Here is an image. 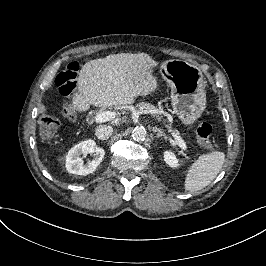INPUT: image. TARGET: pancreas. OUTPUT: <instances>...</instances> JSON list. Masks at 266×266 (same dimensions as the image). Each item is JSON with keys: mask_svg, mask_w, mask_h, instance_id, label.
Instances as JSON below:
<instances>
[{"mask_svg": "<svg viewBox=\"0 0 266 266\" xmlns=\"http://www.w3.org/2000/svg\"><path fill=\"white\" fill-rule=\"evenodd\" d=\"M142 108H143L144 110H146L148 113H152V114H154L155 117L157 118V120H159V121L163 120V118H162V114H163L164 112H162V111L157 112V110L154 109V108H153L152 106H150V105H143ZM175 136H176L177 138H180V135H179L178 133H175Z\"/></svg>", "mask_w": 266, "mask_h": 266, "instance_id": "cf45deb5", "label": "pancreas"}]
</instances>
